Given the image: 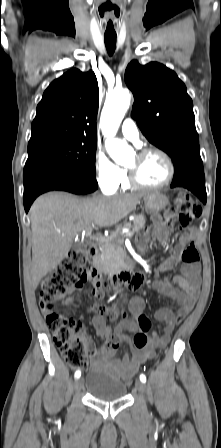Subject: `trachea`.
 Here are the masks:
<instances>
[{
    "label": "trachea",
    "mask_w": 221,
    "mask_h": 448,
    "mask_svg": "<svg viewBox=\"0 0 221 448\" xmlns=\"http://www.w3.org/2000/svg\"><path fill=\"white\" fill-rule=\"evenodd\" d=\"M105 46L108 51V54L113 55L116 48V36L105 35L104 36Z\"/></svg>",
    "instance_id": "obj_1"
}]
</instances>
